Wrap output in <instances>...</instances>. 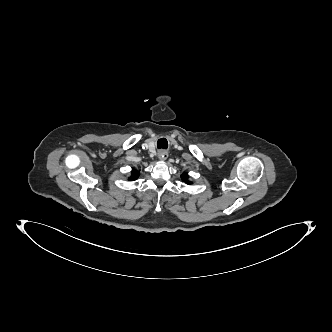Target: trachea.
<instances>
[{"mask_svg": "<svg viewBox=\"0 0 332 332\" xmlns=\"http://www.w3.org/2000/svg\"><path fill=\"white\" fill-rule=\"evenodd\" d=\"M157 147L159 149H167L168 147V142L165 138L159 139L157 142Z\"/></svg>", "mask_w": 332, "mask_h": 332, "instance_id": "trachea-1", "label": "trachea"}]
</instances>
